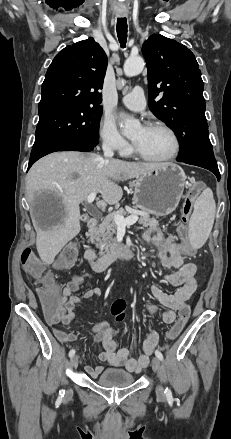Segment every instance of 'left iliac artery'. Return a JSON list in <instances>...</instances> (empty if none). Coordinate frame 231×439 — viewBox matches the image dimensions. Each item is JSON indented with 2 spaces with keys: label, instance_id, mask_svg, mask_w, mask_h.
Returning a JSON list of instances; mask_svg holds the SVG:
<instances>
[{
  "label": "left iliac artery",
  "instance_id": "1",
  "mask_svg": "<svg viewBox=\"0 0 231 439\" xmlns=\"http://www.w3.org/2000/svg\"><path fill=\"white\" fill-rule=\"evenodd\" d=\"M155 355L161 360V361H163V355H162V353L160 352V351H158V350H156L155 351ZM165 394H166V396H167V398H172V392H171V390L169 389V388H166L165 389Z\"/></svg>",
  "mask_w": 231,
  "mask_h": 439
}]
</instances>
